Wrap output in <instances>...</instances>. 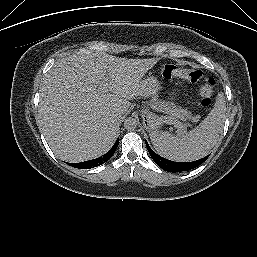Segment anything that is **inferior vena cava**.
Here are the masks:
<instances>
[{
    "label": "inferior vena cava",
    "instance_id": "inferior-vena-cava-1",
    "mask_svg": "<svg viewBox=\"0 0 257 257\" xmlns=\"http://www.w3.org/2000/svg\"><path fill=\"white\" fill-rule=\"evenodd\" d=\"M112 118L115 122H119L121 120V116L119 114H113Z\"/></svg>",
    "mask_w": 257,
    "mask_h": 257
}]
</instances>
